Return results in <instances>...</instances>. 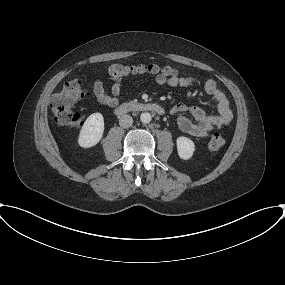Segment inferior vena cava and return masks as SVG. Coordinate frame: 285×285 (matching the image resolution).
<instances>
[{
    "label": "inferior vena cava",
    "mask_w": 285,
    "mask_h": 285,
    "mask_svg": "<svg viewBox=\"0 0 285 285\" xmlns=\"http://www.w3.org/2000/svg\"><path fill=\"white\" fill-rule=\"evenodd\" d=\"M133 124V118L130 115H122L119 119V125L123 128H129Z\"/></svg>",
    "instance_id": "inferior-vena-cava-1"
}]
</instances>
